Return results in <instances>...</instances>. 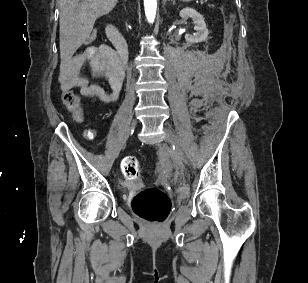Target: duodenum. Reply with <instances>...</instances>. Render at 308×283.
<instances>
[{
	"mask_svg": "<svg viewBox=\"0 0 308 283\" xmlns=\"http://www.w3.org/2000/svg\"><path fill=\"white\" fill-rule=\"evenodd\" d=\"M106 34L118 54L117 57L120 66L124 71L129 56L126 40L124 39L117 26L113 23H108L106 25Z\"/></svg>",
	"mask_w": 308,
	"mask_h": 283,
	"instance_id": "duodenum-1",
	"label": "duodenum"
}]
</instances>
